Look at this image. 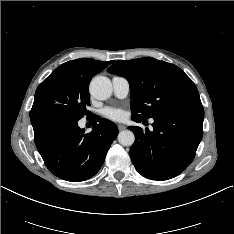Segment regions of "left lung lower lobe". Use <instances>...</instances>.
<instances>
[{
    "mask_svg": "<svg viewBox=\"0 0 234 234\" xmlns=\"http://www.w3.org/2000/svg\"><path fill=\"white\" fill-rule=\"evenodd\" d=\"M153 119V131L128 127L135 134L130 156L142 176L153 180L171 179L183 172L195 157L203 136L204 109L201 103L192 104Z\"/></svg>",
    "mask_w": 234,
    "mask_h": 234,
    "instance_id": "left-lung-lower-lobe-1",
    "label": "left lung lower lobe"
}]
</instances>
